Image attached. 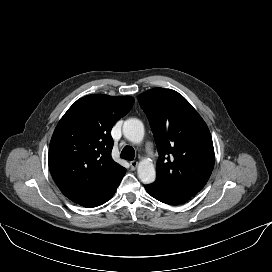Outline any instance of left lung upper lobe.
<instances>
[{"instance_id":"left-lung-upper-lobe-1","label":"left lung upper lobe","mask_w":272,"mask_h":272,"mask_svg":"<svg viewBox=\"0 0 272 272\" xmlns=\"http://www.w3.org/2000/svg\"><path fill=\"white\" fill-rule=\"evenodd\" d=\"M157 145V178L150 186L195 196L214 167L210 131L190 103L171 89L154 88L138 97Z\"/></svg>"}]
</instances>
